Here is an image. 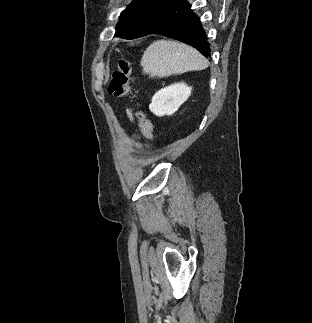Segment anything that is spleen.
I'll use <instances>...</instances> for the list:
<instances>
[{
  "label": "spleen",
  "mask_w": 312,
  "mask_h": 323,
  "mask_svg": "<svg viewBox=\"0 0 312 323\" xmlns=\"http://www.w3.org/2000/svg\"><path fill=\"white\" fill-rule=\"evenodd\" d=\"M141 66L144 74L165 78V76L184 74L191 70H205L208 60L195 48L181 42L157 40L144 52Z\"/></svg>",
  "instance_id": "obj_1"
}]
</instances>
